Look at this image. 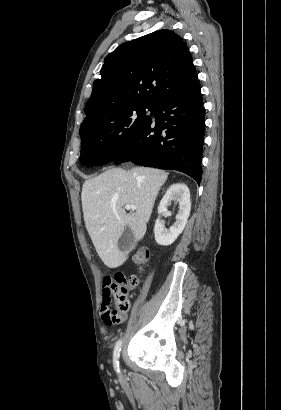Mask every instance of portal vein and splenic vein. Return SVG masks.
Masks as SVG:
<instances>
[{
	"label": "portal vein and splenic vein",
	"instance_id": "portal-vein-and-splenic-vein-1",
	"mask_svg": "<svg viewBox=\"0 0 281 410\" xmlns=\"http://www.w3.org/2000/svg\"><path fill=\"white\" fill-rule=\"evenodd\" d=\"M125 209H126V210H136L137 207H136V206H133V205L127 204V205H125Z\"/></svg>",
	"mask_w": 281,
	"mask_h": 410
}]
</instances>
